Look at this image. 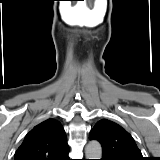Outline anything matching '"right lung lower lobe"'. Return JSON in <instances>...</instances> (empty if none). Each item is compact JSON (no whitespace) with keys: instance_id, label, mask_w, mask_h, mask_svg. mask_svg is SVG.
I'll return each instance as SVG.
<instances>
[{"instance_id":"right-lung-lower-lobe-1","label":"right lung lower lobe","mask_w":160,"mask_h":160,"mask_svg":"<svg viewBox=\"0 0 160 160\" xmlns=\"http://www.w3.org/2000/svg\"><path fill=\"white\" fill-rule=\"evenodd\" d=\"M65 160H70L69 157H66Z\"/></svg>"}]
</instances>
